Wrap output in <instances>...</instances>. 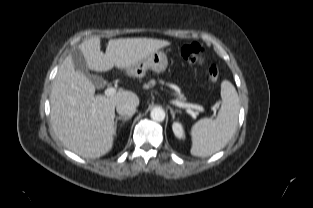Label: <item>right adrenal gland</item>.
I'll list each match as a JSON object with an SVG mask.
<instances>
[{
    "label": "right adrenal gland",
    "mask_w": 313,
    "mask_h": 208,
    "mask_svg": "<svg viewBox=\"0 0 313 208\" xmlns=\"http://www.w3.org/2000/svg\"><path fill=\"white\" fill-rule=\"evenodd\" d=\"M129 119H131V116L127 117V116H119V117H116V121H115V128L117 127V123H118V120H123V124L128 121ZM123 124H121L120 127L123 126Z\"/></svg>",
    "instance_id": "right-adrenal-gland-1"
}]
</instances>
